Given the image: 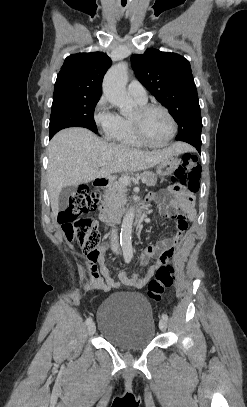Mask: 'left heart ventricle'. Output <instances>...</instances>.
<instances>
[{
	"label": "left heart ventricle",
	"mask_w": 247,
	"mask_h": 407,
	"mask_svg": "<svg viewBox=\"0 0 247 407\" xmlns=\"http://www.w3.org/2000/svg\"><path fill=\"white\" fill-rule=\"evenodd\" d=\"M133 115H135V112ZM142 131L149 142L160 144L165 142L170 136L172 125L164 112L154 109L142 117Z\"/></svg>",
	"instance_id": "obj_1"
}]
</instances>
